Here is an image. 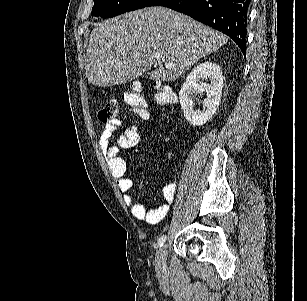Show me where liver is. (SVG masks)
I'll list each match as a JSON object with an SVG mask.
<instances>
[{"label":"liver","mask_w":307,"mask_h":301,"mask_svg":"<svg viewBox=\"0 0 307 301\" xmlns=\"http://www.w3.org/2000/svg\"><path fill=\"white\" fill-rule=\"evenodd\" d=\"M228 40L223 32L182 12L165 6L140 8L123 18L96 22L86 54L87 78L96 86L124 84L141 74L170 82Z\"/></svg>","instance_id":"6515ba94"}]
</instances>
